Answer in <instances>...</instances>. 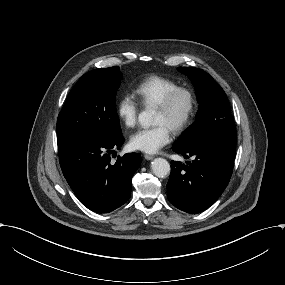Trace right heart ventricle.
Returning <instances> with one entry per match:
<instances>
[{"instance_id": "1", "label": "right heart ventricle", "mask_w": 285, "mask_h": 285, "mask_svg": "<svg viewBox=\"0 0 285 285\" xmlns=\"http://www.w3.org/2000/svg\"><path fill=\"white\" fill-rule=\"evenodd\" d=\"M179 83L165 76H150L141 81L134 89L137 100L144 107H155L165 95Z\"/></svg>"}]
</instances>
